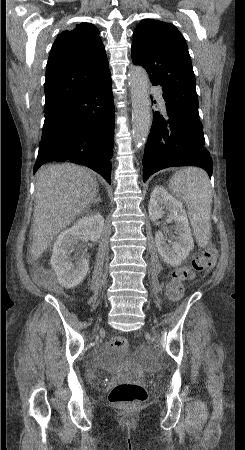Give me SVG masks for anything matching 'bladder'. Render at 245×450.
Masks as SVG:
<instances>
[{"mask_svg":"<svg viewBox=\"0 0 245 450\" xmlns=\"http://www.w3.org/2000/svg\"><path fill=\"white\" fill-rule=\"evenodd\" d=\"M119 372H127V373H129L130 372V369L129 368H119V369H117ZM96 375V373H94V371H91V378H94V377H96L95 376Z\"/></svg>","mask_w":245,"mask_h":450,"instance_id":"1","label":"bladder"}]
</instances>
